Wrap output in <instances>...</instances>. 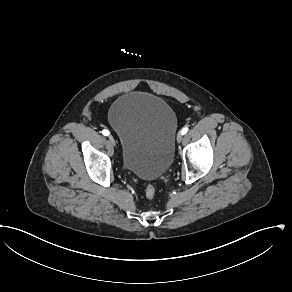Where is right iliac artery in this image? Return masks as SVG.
<instances>
[{"instance_id":"82829eb1","label":"right iliac artery","mask_w":292,"mask_h":292,"mask_svg":"<svg viewBox=\"0 0 292 292\" xmlns=\"http://www.w3.org/2000/svg\"><path fill=\"white\" fill-rule=\"evenodd\" d=\"M102 134H103L104 136H108V135H110V132H109L107 129H104V130L102 131Z\"/></svg>"}]
</instances>
